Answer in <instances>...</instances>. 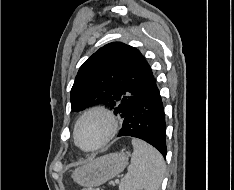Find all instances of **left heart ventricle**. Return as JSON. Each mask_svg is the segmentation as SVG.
<instances>
[{
    "mask_svg": "<svg viewBox=\"0 0 234 190\" xmlns=\"http://www.w3.org/2000/svg\"><path fill=\"white\" fill-rule=\"evenodd\" d=\"M107 123L98 116L86 119L79 130V142L82 146L89 148L98 144L106 135Z\"/></svg>",
    "mask_w": 234,
    "mask_h": 190,
    "instance_id": "1",
    "label": "left heart ventricle"
}]
</instances>
